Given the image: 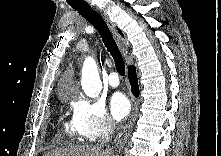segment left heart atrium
Segmentation results:
<instances>
[{
	"mask_svg": "<svg viewBox=\"0 0 221 156\" xmlns=\"http://www.w3.org/2000/svg\"><path fill=\"white\" fill-rule=\"evenodd\" d=\"M110 111L114 119L122 120L130 111V102L126 96L120 92L112 95L110 99Z\"/></svg>",
	"mask_w": 221,
	"mask_h": 156,
	"instance_id": "1",
	"label": "left heart atrium"
}]
</instances>
